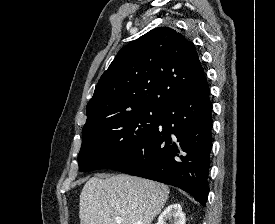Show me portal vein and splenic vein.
I'll return each instance as SVG.
<instances>
[{
	"label": "portal vein and splenic vein",
	"instance_id": "18ae733b",
	"mask_svg": "<svg viewBox=\"0 0 275 224\" xmlns=\"http://www.w3.org/2000/svg\"><path fill=\"white\" fill-rule=\"evenodd\" d=\"M116 222H117L118 224H121V223H122V219H121V218H116ZM137 224H141V223H137Z\"/></svg>",
	"mask_w": 275,
	"mask_h": 224
}]
</instances>
